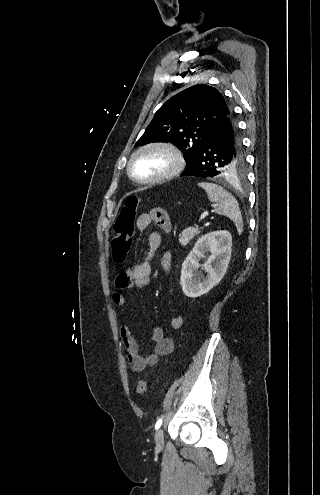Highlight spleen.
<instances>
[{
	"mask_svg": "<svg viewBox=\"0 0 320 495\" xmlns=\"http://www.w3.org/2000/svg\"><path fill=\"white\" fill-rule=\"evenodd\" d=\"M198 186L207 192L209 200L214 203L216 213L232 220L238 233L241 234L243 231V219L235 197L217 184L201 182Z\"/></svg>",
	"mask_w": 320,
	"mask_h": 495,
	"instance_id": "obj_1",
	"label": "spleen"
}]
</instances>
